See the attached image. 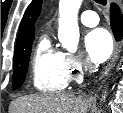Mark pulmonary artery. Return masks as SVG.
Wrapping results in <instances>:
<instances>
[{
	"mask_svg": "<svg viewBox=\"0 0 123 113\" xmlns=\"http://www.w3.org/2000/svg\"><path fill=\"white\" fill-rule=\"evenodd\" d=\"M80 21L85 26L93 27L99 23V17L95 11L86 10L80 14Z\"/></svg>",
	"mask_w": 123,
	"mask_h": 113,
	"instance_id": "e3ab8cb5",
	"label": "pulmonary artery"
}]
</instances>
